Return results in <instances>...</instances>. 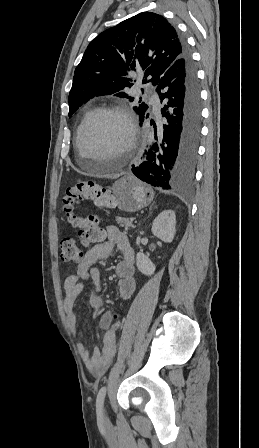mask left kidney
I'll use <instances>...</instances> for the list:
<instances>
[{
  "label": "left kidney",
  "mask_w": 259,
  "mask_h": 448,
  "mask_svg": "<svg viewBox=\"0 0 259 448\" xmlns=\"http://www.w3.org/2000/svg\"><path fill=\"white\" fill-rule=\"evenodd\" d=\"M176 216L173 210H164L161 212L153 222L151 228L152 234L162 240V242H172L175 236ZM136 264L139 272L145 276H152L155 272L156 266L149 260L148 256L138 252L136 256Z\"/></svg>",
  "instance_id": "1"
}]
</instances>
